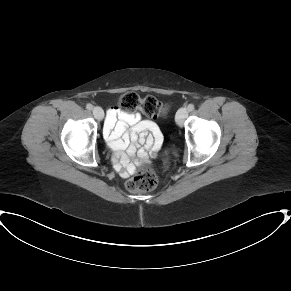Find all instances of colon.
<instances>
[{"instance_id":"colon-1","label":"colon","mask_w":291,"mask_h":291,"mask_svg":"<svg viewBox=\"0 0 291 291\" xmlns=\"http://www.w3.org/2000/svg\"><path fill=\"white\" fill-rule=\"evenodd\" d=\"M120 108L127 112L139 110L150 118L163 117L168 110V107L155 97H141L133 92L126 93L121 97ZM157 184L158 178L155 172L149 168L141 167L135 176L127 182L126 186L131 192L145 193L156 188Z\"/></svg>"}]
</instances>
